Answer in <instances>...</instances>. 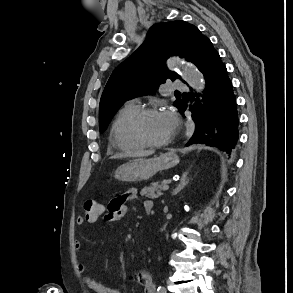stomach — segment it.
Segmentation results:
<instances>
[{
  "label": "stomach",
  "instance_id": "0dacf381",
  "mask_svg": "<svg viewBox=\"0 0 293 293\" xmlns=\"http://www.w3.org/2000/svg\"><path fill=\"white\" fill-rule=\"evenodd\" d=\"M179 162L175 152H167L151 159L138 158L118 167L115 177L125 182L146 181L157 172L175 167Z\"/></svg>",
  "mask_w": 293,
  "mask_h": 293
}]
</instances>
